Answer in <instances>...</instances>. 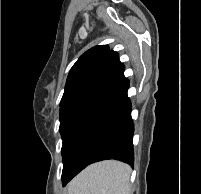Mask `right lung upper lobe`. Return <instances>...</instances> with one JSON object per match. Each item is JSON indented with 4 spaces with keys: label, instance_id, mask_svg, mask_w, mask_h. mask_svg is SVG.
Wrapping results in <instances>:
<instances>
[{
    "label": "right lung upper lobe",
    "instance_id": "right-lung-upper-lobe-1",
    "mask_svg": "<svg viewBox=\"0 0 201 194\" xmlns=\"http://www.w3.org/2000/svg\"><path fill=\"white\" fill-rule=\"evenodd\" d=\"M118 54L107 45L86 51L71 68L60 106L94 98L126 79Z\"/></svg>",
    "mask_w": 201,
    "mask_h": 194
}]
</instances>
